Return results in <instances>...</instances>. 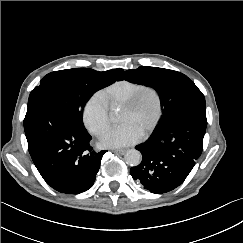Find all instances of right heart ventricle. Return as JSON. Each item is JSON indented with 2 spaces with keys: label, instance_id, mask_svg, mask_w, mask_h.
Masks as SVG:
<instances>
[{
  "label": "right heart ventricle",
  "instance_id": "e07e8e85",
  "mask_svg": "<svg viewBox=\"0 0 243 243\" xmlns=\"http://www.w3.org/2000/svg\"><path fill=\"white\" fill-rule=\"evenodd\" d=\"M142 85L130 80H118L106 87L101 94L109 106H123Z\"/></svg>",
  "mask_w": 243,
  "mask_h": 243
}]
</instances>
